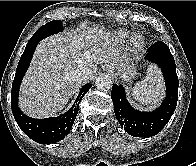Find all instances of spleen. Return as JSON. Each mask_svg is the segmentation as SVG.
I'll use <instances>...</instances> for the list:
<instances>
[{
	"instance_id": "3e777b00",
	"label": "spleen",
	"mask_w": 196,
	"mask_h": 166,
	"mask_svg": "<svg viewBox=\"0 0 196 166\" xmlns=\"http://www.w3.org/2000/svg\"><path fill=\"white\" fill-rule=\"evenodd\" d=\"M163 91V79L159 69L155 65H149L145 79L136 83L132 96L142 104L153 105L160 101Z\"/></svg>"
}]
</instances>
